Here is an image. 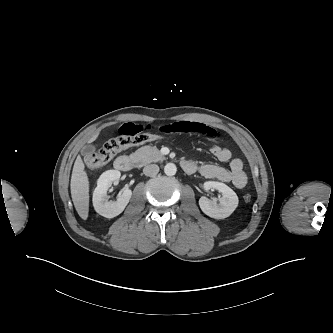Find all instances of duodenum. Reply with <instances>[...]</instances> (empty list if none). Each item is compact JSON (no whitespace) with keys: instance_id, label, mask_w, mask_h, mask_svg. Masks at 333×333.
<instances>
[{"instance_id":"obj_1","label":"duodenum","mask_w":333,"mask_h":333,"mask_svg":"<svg viewBox=\"0 0 333 333\" xmlns=\"http://www.w3.org/2000/svg\"><path fill=\"white\" fill-rule=\"evenodd\" d=\"M136 163H137V160L132 157L120 156L115 160L114 166L117 170L126 172V171L131 170ZM181 165H182V168L186 171V167H187L186 161H182Z\"/></svg>"}]
</instances>
